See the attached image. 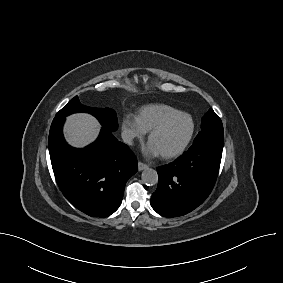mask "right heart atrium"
Returning <instances> with one entry per match:
<instances>
[{
  "label": "right heart atrium",
  "instance_id": "right-heart-atrium-1",
  "mask_svg": "<svg viewBox=\"0 0 283 283\" xmlns=\"http://www.w3.org/2000/svg\"><path fill=\"white\" fill-rule=\"evenodd\" d=\"M121 128L123 139L129 145H132L136 140H141L146 134V130L140 124L138 117L132 113L123 117Z\"/></svg>",
  "mask_w": 283,
  "mask_h": 283
}]
</instances>
